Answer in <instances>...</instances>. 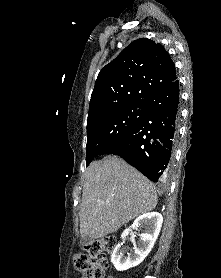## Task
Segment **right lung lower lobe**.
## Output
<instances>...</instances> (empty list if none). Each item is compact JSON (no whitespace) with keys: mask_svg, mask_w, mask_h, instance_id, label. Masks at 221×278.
<instances>
[{"mask_svg":"<svg viewBox=\"0 0 221 278\" xmlns=\"http://www.w3.org/2000/svg\"><path fill=\"white\" fill-rule=\"evenodd\" d=\"M146 113L125 136L101 154H116L153 182L168 178L179 119V81L156 90L146 101Z\"/></svg>","mask_w":221,"mask_h":278,"instance_id":"1","label":"right lung lower lobe"}]
</instances>
